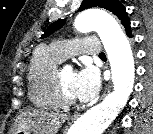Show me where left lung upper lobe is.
<instances>
[{
  "label": "left lung upper lobe",
  "instance_id": "obj_1",
  "mask_svg": "<svg viewBox=\"0 0 153 134\" xmlns=\"http://www.w3.org/2000/svg\"><path fill=\"white\" fill-rule=\"evenodd\" d=\"M91 7H101L111 11L120 20L122 25L125 27V31L128 37H132L130 20L125 10L124 5L118 0H83L79 10H84ZM64 24V20L60 19L52 23L41 36L45 38L49 36L54 31L60 29Z\"/></svg>",
  "mask_w": 153,
  "mask_h": 134
}]
</instances>
